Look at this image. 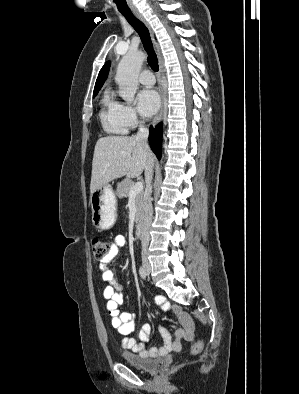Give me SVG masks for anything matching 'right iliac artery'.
I'll use <instances>...</instances> for the list:
<instances>
[{
    "instance_id": "right-iliac-artery-1",
    "label": "right iliac artery",
    "mask_w": 299,
    "mask_h": 394,
    "mask_svg": "<svg viewBox=\"0 0 299 394\" xmlns=\"http://www.w3.org/2000/svg\"><path fill=\"white\" fill-rule=\"evenodd\" d=\"M139 275L141 276V278L145 279L146 278V272L144 270L143 267H140L139 269Z\"/></svg>"
}]
</instances>
